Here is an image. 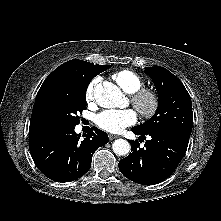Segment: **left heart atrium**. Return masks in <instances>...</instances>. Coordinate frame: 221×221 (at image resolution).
I'll return each instance as SVG.
<instances>
[{
    "label": "left heart atrium",
    "mask_w": 221,
    "mask_h": 221,
    "mask_svg": "<svg viewBox=\"0 0 221 221\" xmlns=\"http://www.w3.org/2000/svg\"><path fill=\"white\" fill-rule=\"evenodd\" d=\"M136 120L137 114L132 109H108L98 113L94 118V123L104 131L120 133L126 127L133 125Z\"/></svg>",
    "instance_id": "1"
}]
</instances>
